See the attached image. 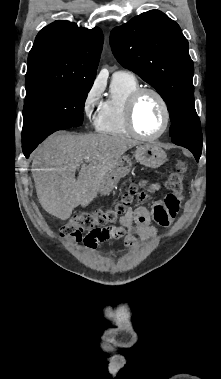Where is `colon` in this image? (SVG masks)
I'll return each mask as SVG.
<instances>
[{"mask_svg": "<svg viewBox=\"0 0 221 379\" xmlns=\"http://www.w3.org/2000/svg\"><path fill=\"white\" fill-rule=\"evenodd\" d=\"M185 169V164L183 162H178L175 170L169 172L167 178L168 189L182 191ZM134 195L135 186L131 185L127 192H125L119 201L112 207L91 213H81L72 217L61 227V236L75 242H81L85 241L90 234L100 232L110 227L118 220V218H121L127 212L133 201ZM86 233L87 235L84 237Z\"/></svg>", "mask_w": 221, "mask_h": 379, "instance_id": "5ec220e1", "label": "colon"}]
</instances>
